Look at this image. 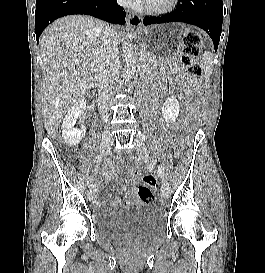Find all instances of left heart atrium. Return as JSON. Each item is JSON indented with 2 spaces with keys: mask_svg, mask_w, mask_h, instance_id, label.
Here are the masks:
<instances>
[{
  "mask_svg": "<svg viewBox=\"0 0 265 273\" xmlns=\"http://www.w3.org/2000/svg\"><path fill=\"white\" fill-rule=\"evenodd\" d=\"M136 1H139V2H147L148 0H136Z\"/></svg>",
  "mask_w": 265,
  "mask_h": 273,
  "instance_id": "39dd6f15",
  "label": "left heart atrium"
}]
</instances>
